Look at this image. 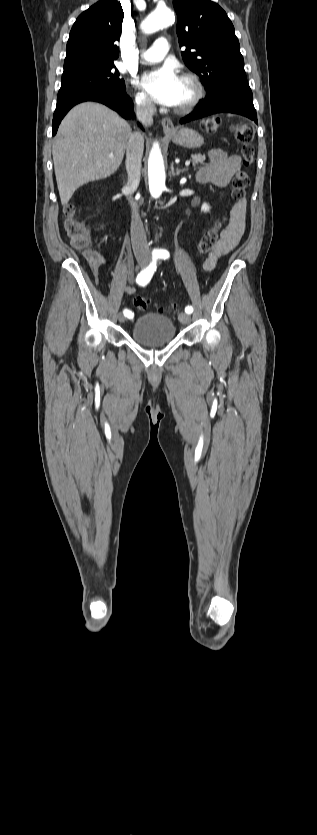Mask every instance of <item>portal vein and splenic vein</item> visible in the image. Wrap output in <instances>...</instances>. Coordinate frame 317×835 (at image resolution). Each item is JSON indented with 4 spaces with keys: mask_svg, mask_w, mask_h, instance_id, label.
<instances>
[{
    "mask_svg": "<svg viewBox=\"0 0 317 835\" xmlns=\"http://www.w3.org/2000/svg\"><path fill=\"white\" fill-rule=\"evenodd\" d=\"M185 165H186V166H189V165H190V161H189V160H187V161L185 162Z\"/></svg>",
    "mask_w": 317,
    "mask_h": 835,
    "instance_id": "obj_1",
    "label": "portal vein and splenic vein"
}]
</instances>
